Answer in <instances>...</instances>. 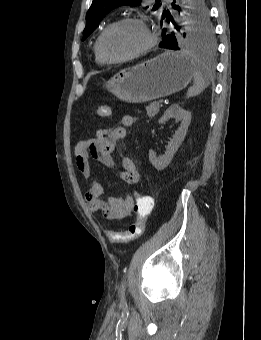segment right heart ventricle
I'll return each instance as SVG.
<instances>
[{
  "label": "right heart ventricle",
  "mask_w": 261,
  "mask_h": 340,
  "mask_svg": "<svg viewBox=\"0 0 261 340\" xmlns=\"http://www.w3.org/2000/svg\"><path fill=\"white\" fill-rule=\"evenodd\" d=\"M94 54H95V59L98 64L105 65L108 64L109 62L105 61L100 54L97 51V40L94 43Z\"/></svg>",
  "instance_id": "right-heart-ventricle-1"
}]
</instances>
